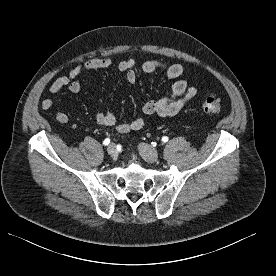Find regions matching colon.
Returning <instances> with one entry per match:
<instances>
[{"label":"colon","instance_id":"obj_1","mask_svg":"<svg viewBox=\"0 0 276 276\" xmlns=\"http://www.w3.org/2000/svg\"><path fill=\"white\" fill-rule=\"evenodd\" d=\"M222 110L221 101L219 98L216 97H207L203 103V111L210 115L216 116Z\"/></svg>","mask_w":276,"mask_h":276}]
</instances>
